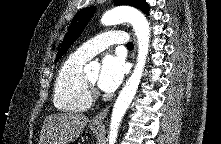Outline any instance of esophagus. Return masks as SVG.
<instances>
[{"label": "esophagus", "mask_w": 221, "mask_h": 144, "mask_svg": "<svg viewBox=\"0 0 221 144\" xmlns=\"http://www.w3.org/2000/svg\"><path fill=\"white\" fill-rule=\"evenodd\" d=\"M133 40H134V52H133V55H132V62L134 61V58H135V53H136V37L135 35L133 34ZM110 105L106 106L99 114H97L92 120L91 122L93 124H96V125H102L103 122H104V119L106 118L109 110H110Z\"/></svg>", "instance_id": "1"}]
</instances>
